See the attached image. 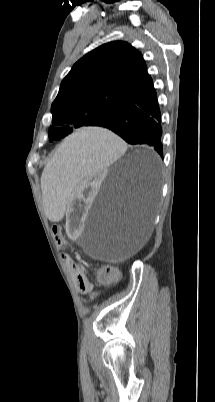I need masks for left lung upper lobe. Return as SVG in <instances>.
Returning a JSON list of instances; mask_svg holds the SVG:
<instances>
[{
	"label": "left lung upper lobe",
	"instance_id": "1",
	"mask_svg": "<svg viewBox=\"0 0 215 402\" xmlns=\"http://www.w3.org/2000/svg\"><path fill=\"white\" fill-rule=\"evenodd\" d=\"M149 78L139 51L124 41L86 54L61 82L51 113L55 125L96 126L134 96ZM69 126L49 129L50 141L70 134Z\"/></svg>",
	"mask_w": 215,
	"mask_h": 402
}]
</instances>
